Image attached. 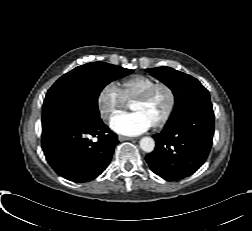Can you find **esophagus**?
Instances as JSON below:
<instances>
[{
	"instance_id": "34e87169",
	"label": "esophagus",
	"mask_w": 252,
	"mask_h": 231,
	"mask_svg": "<svg viewBox=\"0 0 252 231\" xmlns=\"http://www.w3.org/2000/svg\"><path fill=\"white\" fill-rule=\"evenodd\" d=\"M135 138H132V137H126V136H122V135H119L118 136V140L119 141H133Z\"/></svg>"
}]
</instances>
